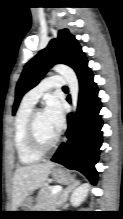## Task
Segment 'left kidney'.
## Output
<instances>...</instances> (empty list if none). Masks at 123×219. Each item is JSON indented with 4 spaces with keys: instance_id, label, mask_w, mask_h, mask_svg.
Masks as SVG:
<instances>
[{
    "instance_id": "1",
    "label": "left kidney",
    "mask_w": 123,
    "mask_h": 219,
    "mask_svg": "<svg viewBox=\"0 0 123 219\" xmlns=\"http://www.w3.org/2000/svg\"><path fill=\"white\" fill-rule=\"evenodd\" d=\"M89 184L85 183L76 188L71 195V203L73 206H78L85 200L88 192Z\"/></svg>"
}]
</instances>
